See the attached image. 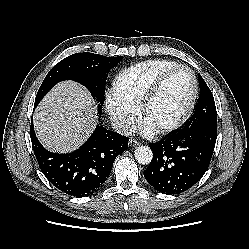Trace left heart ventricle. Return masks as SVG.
<instances>
[{
  "label": "left heart ventricle",
  "mask_w": 249,
  "mask_h": 249,
  "mask_svg": "<svg viewBox=\"0 0 249 249\" xmlns=\"http://www.w3.org/2000/svg\"><path fill=\"white\" fill-rule=\"evenodd\" d=\"M191 90V77L186 70L170 75L149 106L145 121L159 128L174 121L184 110Z\"/></svg>",
  "instance_id": "left-heart-ventricle-1"
}]
</instances>
